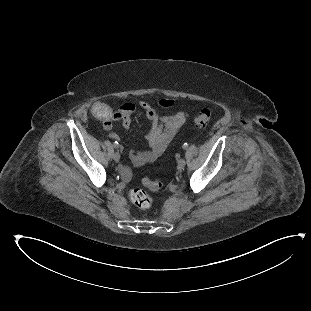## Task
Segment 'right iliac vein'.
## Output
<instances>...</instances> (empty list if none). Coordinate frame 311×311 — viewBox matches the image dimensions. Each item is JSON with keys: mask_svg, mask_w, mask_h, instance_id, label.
<instances>
[{"mask_svg": "<svg viewBox=\"0 0 311 311\" xmlns=\"http://www.w3.org/2000/svg\"><path fill=\"white\" fill-rule=\"evenodd\" d=\"M113 159H114V161L118 162L120 160V154L118 152H115L113 154Z\"/></svg>", "mask_w": 311, "mask_h": 311, "instance_id": "63e3f726", "label": "right iliac vein"}]
</instances>
